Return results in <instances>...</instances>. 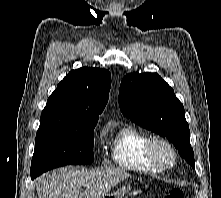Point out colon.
I'll return each mask as SVG.
<instances>
[{
    "label": "colon",
    "mask_w": 221,
    "mask_h": 198,
    "mask_svg": "<svg viewBox=\"0 0 221 198\" xmlns=\"http://www.w3.org/2000/svg\"><path fill=\"white\" fill-rule=\"evenodd\" d=\"M162 198H185V195L181 189L174 188L169 191V193L162 196Z\"/></svg>",
    "instance_id": "1"
}]
</instances>
